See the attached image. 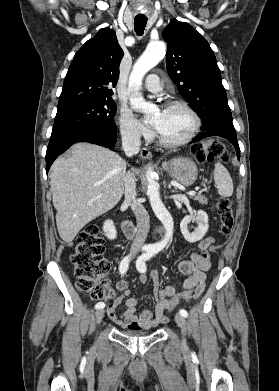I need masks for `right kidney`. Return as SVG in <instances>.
I'll return each mask as SVG.
<instances>
[{"label": "right kidney", "instance_id": "right-kidney-1", "mask_svg": "<svg viewBox=\"0 0 279 391\" xmlns=\"http://www.w3.org/2000/svg\"><path fill=\"white\" fill-rule=\"evenodd\" d=\"M103 231L110 240H114L117 237V231L112 220H106L104 222Z\"/></svg>", "mask_w": 279, "mask_h": 391}]
</instances>
